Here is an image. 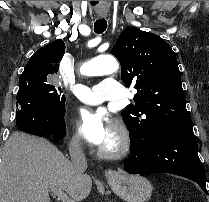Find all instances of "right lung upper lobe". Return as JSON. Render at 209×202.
I'll use <instances>...</instances> for the list:
<instances>
[{
  "mask_svg": "<svg viewBox=\"0 0 209 202\" xmlns=\"http://www.w3.org/2000/svg\"><path fill=\"white\" fill-rule=\"evenodd\" d=\"M65 52V44L61 39L55 40L37 50L29 59L21 75L33 73H57L55 63H59Z\"/></svg>",
  "mask_w": 209,
  "mask_h": 202,
  "instance_id": "right-lung-upper-lobe-1",
  "label": "right lung upper lobe"
}]
</instances>
